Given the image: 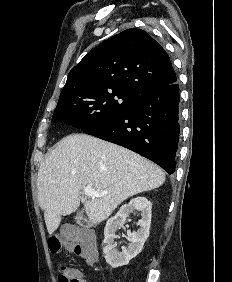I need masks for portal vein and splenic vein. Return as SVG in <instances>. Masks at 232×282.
Masks as SVG:
<instances>
[{"mask_svg":"<svg viewBox=\"0 0 232 282\" xmlns=\"http://www.w3.org/2000/svg\"><path fill=\"white\" fill-rule=\"evenodd\" d=\"M84 194L87 197H92V198L102 197V196L106 195V193H104V192H98V191L94 190L91 186H86L84 188Z\"/></svg>","mask_w":232,"mask_h":282,"instance_id":"portal-vein-and-splenic-vein-1","label":"portal vein and splenic vein"}]
</instances>
